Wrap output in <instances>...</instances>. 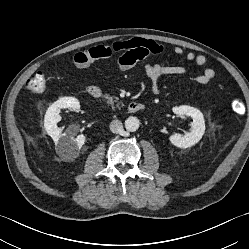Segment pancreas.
Wrapping results in <instances>:
<instances>
[{
  "label": "pancreas",
  "instance_id": "cf45deb5",
  "mask_svg": "<svg viewBox=\"0 0 249 249\" xmlns=\"http://www.w3.org/2000/svg\"><path fill=\"white\" fill-rule=\"evenodd\" d=\"M104 98L107 99V104L109 105H113L115 102L118 101L117 97H111L108 94H105ZM120 104H122V102H118L116 106L119 107Z\"/></svg>",
  "mask_w": 249,
  "mask_h": 249
}]
</instances>
